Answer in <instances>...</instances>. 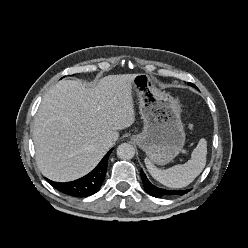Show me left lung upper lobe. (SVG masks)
<instances>
[{
	"mask_svg": "<svg viewBox=\"0 0 248 248\" xmlns=\"http://www.w3.org/2000/svg\"><path fill=\"white\" fill-rule=\"evenodd\" d=\"M189 85L193 86V87H196L194 84H191V83H188Z\"/></svg>",
	"mask_w": 248,
	"mask_h": 248,
	"instance_id": "left-lung-upper-lobe-1",
	"label": "left lung upper lobe"
}]
</instances>
